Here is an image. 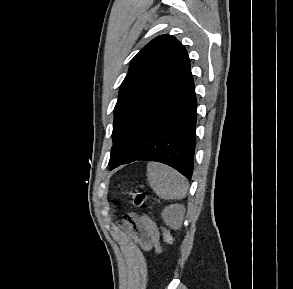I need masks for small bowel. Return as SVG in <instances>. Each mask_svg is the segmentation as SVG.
Returning a JSON list of instances; mask_svg holds the SVG:
<instances>
[{
  "mask_svg": "<svg viewBox=\"0 0 293 289\" xmlns=\"http://www.w3.org/2000/svg\"><path fill=\"white\" fill-rule=\"evenodd\" d=\"M124 227L142 250L161 252L160 232L151 218L146 215L129 213Z\"/></svg>",
  "mask_w": 293,
  "mask_h": 289,
  "instance_id": "c3829d8e",
  "label": "small bowel"
}]
</instances>
